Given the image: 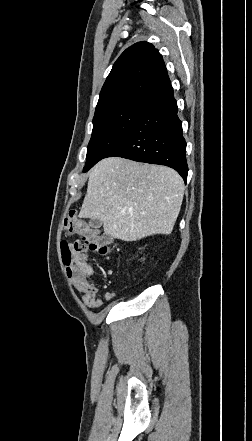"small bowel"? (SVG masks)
<instances>
[{
  "label": "small bowel",
  "instance_id": "obj_1",
  "mask_svg": "<svg viewBox=\"0 0 252 441\" xmlns=\"http://www.w3.org/2000/svg\"><path fill=\"white\" fill-rule=\"evenodd\" d=\"M93 276L94 269L88 265L86 279L83 281H73V284L82 293V300L85 305L90 309H98L101 307L103 300H112L114 294L112 292H101L93 282L89 281L88 278Z\"/></svg>",
  "mask_w": 252,
  "mask_h": 441
}]
</instances>
